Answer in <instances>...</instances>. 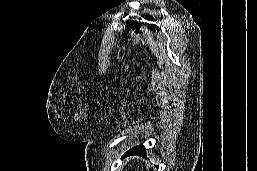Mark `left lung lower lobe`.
Returning <instances> with one entry per match:
<instances>
[{"instance_id":"left-lung-lower-lobe-1","label":"left lung lower lobe","mask_w":257,"mask_h":171,"mask_svg":"<svg viewBox=\"0 0 257 171\" xmlns=\"http://www.w3.org/2000/svg\"><path fill=\"white\" fill-rule=\"evenodd\" d=\"M145 151H146V149L144 148V146L139 145V146L133 147L132 149L127 151L126 154H124L123 157H125L127 155H131V154L145 155Z\"/></svg>"}]
</instances>
